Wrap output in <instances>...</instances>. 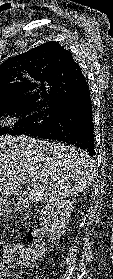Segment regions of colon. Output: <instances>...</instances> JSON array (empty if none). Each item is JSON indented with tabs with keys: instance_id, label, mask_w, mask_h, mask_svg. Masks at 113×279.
I'll list each match as a JSON object with an SVG mask.
<instances>
[{
	"instance_id": "colon-1",
	"label": "colon",
	"mask_w": 113,
	"mask_h": 279,
	"mask_svg": "<svg viewBox=\"0 0 113 279\" xmlns=\"http://www.w3.org/2000/svg\"><path fill=\"white\" fill-rule=\"evenodd\" d=\"M44 243L35 232L32 235V240L26 251H19L13 248L1 246L0 244V265H6L10 261L21 263L27 261L29 258L41 253Z\"/></svg>"
}]
</instances>
